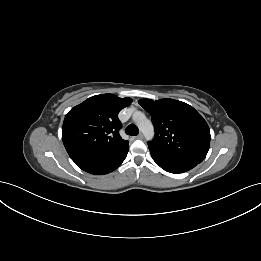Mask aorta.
Returning a JSON list of instances; mask_svg holds the SVG:
<instances>
[{
	"label": "aorta",
	"instance_id": "1",
	"mask_svg": "<svg viewBox=\"0 0 261 261\" xmlns=\"http://www.w3.org/2000/svg\"><path fill=\"white\" fill-rule=\"evenodd\" d=\"M133 119L136 122L138 128L145 135L146 139L150 140L154 136V128L152 123L141 112H136L133 115Z\"/></svg>",
	"mask_w": 261,
	"mask_h": 261
}]
</instances>
